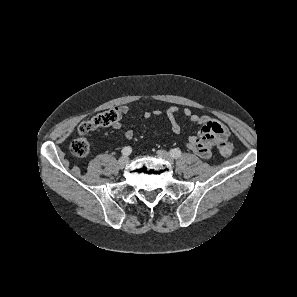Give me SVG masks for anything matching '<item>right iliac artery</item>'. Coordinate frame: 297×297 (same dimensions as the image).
Wrapping results in <instances>:
<instances>
[{
    "mask_svg": "<svg viewBox=\"0 0 297 297\" xmlns=\"http://www.w3.org/2000/svg\"><path fill=\"white\" fill-rule=\"evenodd\" d=\"M132 152V148L129 147V146H126L122 149L121 153L124 155V156H128L130 155Z\"/></svg>",
    "mask_w": 297,
    "mask_h": 297,
    "instance_id": "1",
    "label": "right iliac artery"
}]
</instances>
